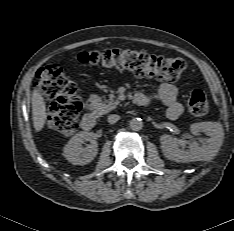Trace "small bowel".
Returning a JSON list of instances; mask_svg holds the SVG:
<instances>
[{
	"instance_id": "c3829d8e",
	"label": "small bowel",
	"mask_w": 234,
	"mask_h": 231,
	"mask_svg": "<svg viewBox=\"0 0 234 231\" xmlns=\"http://www.w3.org/2000/svg\"><path fill=\"white\" fill-rule=\"evenodd\" d=\"M138 94H141V93H138ZM141 95H143V94H141ZM143 96H145V95H143ZM153 99H155V100H157V101H159L167 106L166 117L169 120H176L183 113V106L178 101V89L173 84L162 83L159 86L157 93L153 96ZM148 101H149V99H148Z\"/></svg>"
}]
</instances>
